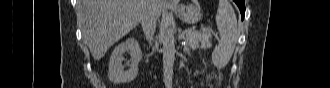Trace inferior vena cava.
Masks as SVG:
<instances>
[{
  "label": "inferior vena cava",
  "instance_id": "602c4592",
  "mask_svg": "<svg viewBox=\"0 0 330 88\" xmlns=\"http://www.w3.org/2000/svg\"><path fill=\"white\" fill-rule=\"evenodd\" d=\"M157 18L156 0H147V6L141 14L140 21L146 39L150 43L155 33Z\"/></svg>",
  "mask_w": 330,
  "mask_h": 88
}]
</instances>
